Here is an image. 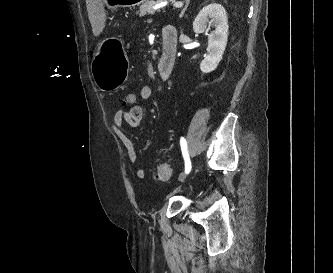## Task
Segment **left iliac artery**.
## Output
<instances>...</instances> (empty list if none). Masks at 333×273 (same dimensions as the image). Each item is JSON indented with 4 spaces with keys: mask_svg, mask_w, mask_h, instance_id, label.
<instances>
[{
    "mask_svg": "<svg viewBox=\"0 0 333 273\" xmlns=\"http://www.w3.org/2000/svg\"><path fill=\"white\" fill-rule=\"evenodd\" d=\"M180 146H181L182 155H183V158L185 161V173L188 174L191 171L192 166H191L189 153L187 150V142L184 137L180 138Z\"/></svg>",
    "mask_w": 333,
    "mask_h": 273,
    "instance_id": "left-iliac-artery-1",
    "label": "left iliac artery"
}]
</instances>
